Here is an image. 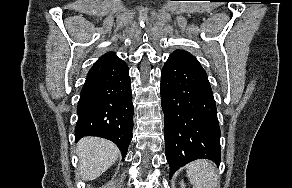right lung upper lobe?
Returning <instances> with one entry per match:
<instances>
[{
	"label": "right lung upper lobe",
	"instance_id": "cb5924a9",
	"mask_svg": "<svg viewBox=\"0 0 292 188\" xmlns=\"http://www.w3.org/2000/svg\"><path fill=\"white\" fill-rule=\"evenodd\" d=\"M108 54H111V52H109V53H107V54H105V55H108Z\"/></svg>",
	"mask_w": 292,
	"mask_h": 188
}]
</instances>
